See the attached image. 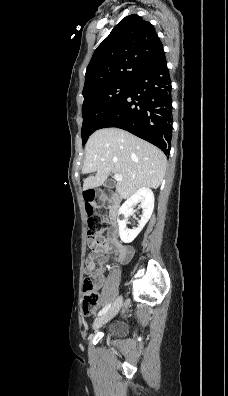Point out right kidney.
Here are the masks:
<instances>
[{
	"label": "right kidney",
	"instance_id": "obj_1",
	"mask_svg": "<svg viewBox=\"0 0 228 396\" xmlns=\"http://www.w3.org/2000/svg\"><path fill=\"white\" fill-rule=\"evenodd\" d=\"M140 203L142 208V216L139 226L135 229L127 228V217L133 214V206ZM154 209V194L147 187L138 189L124 204L120 207L118 215H122L123 219H117L119 225L120 239L124 243H131L141 232L143 227L150 219Z\"/></svg>",
	"mask_w": 228,
	"mask_h": 396
}]
</instances>
